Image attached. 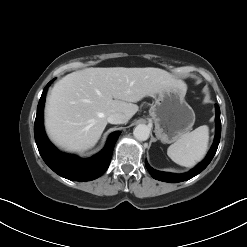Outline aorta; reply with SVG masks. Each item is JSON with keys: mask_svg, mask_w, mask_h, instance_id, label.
I'll return each instance as SVG.
<instances>
[{"mask_svg": "<svg viewBox=\"0 0 247 247\" xmlns=\"http://www.w3.org/2000/svg\"><path fill=\"white\" fill-rule=\"evenodd\" d=\"M134 137L139 141H146L149 138L150 128L145 124H139L133 131Z\"/></svg>", "mask_w": 247, "mask_h": 247, "instance_id": "obj_1", "label": "aorta"}]
</instances>
